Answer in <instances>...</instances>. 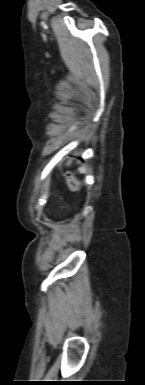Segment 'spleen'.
Wrapping results in <instances>:
<instances>
[{
    "instance_id": "3e777b00",
    "label": "spleen",
    "mask_w": 145,
    "mask_h": 385,
    "mask_svg": "<svg viewBox=\"0 0 145 385\" xmlns=\"http://www.w3.org/2000/svg\"><path fill=\"white\" fill-rule=\"evenodd\" d=\"M80 173H86V168L85 167H80L79 168Z\"/></svg>"
}]
</instances>
